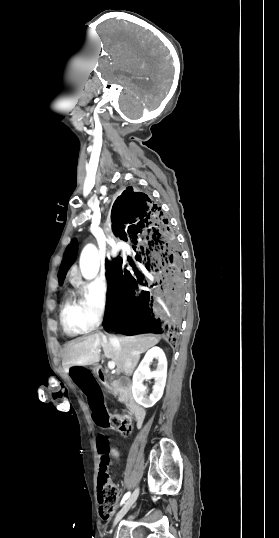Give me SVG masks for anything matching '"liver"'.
<instances>
[{
    "label": "liver",
    "instance_id": "1",
    "mask_svg": "<svg viewBox=\"0 0 279 538\" xmlns=\"http://www.w3.org/2000/svg\"><path fill=\"white\" fill-rule=\"evenodd\" d=\"M118 340L121 350H115L110 344V340H107L106 336H100V334H91V336L78 340L69 348L67 368L97 364L100 360L99 350L103 348L106 358L115 362L118 372H124L126 376H131L140 360V354L156 346L160 338L155 334H141V336H126V338H118Z\"/></svg>",
    "mask_w": 279,
    "mask_h": 538
}]
</instances>
